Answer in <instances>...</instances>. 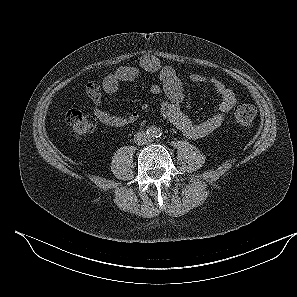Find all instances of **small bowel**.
Instances as JSON below:
<instances>
[{
    "label": "small bowel",
    "instance_id": "c3829d8e",
    "mask_svg": "<svg viewBox=\"0 0 297 297\" xmlns=\"http://www.w3.org/2000/svg\"><path fill=\"white\" fill-rule=\"evenodd\" d=\"M143 72L158 75L162 85H153L150 88V93L159 98L161 116L189 139L204 138L218 129L237 102L234 91L220 80L201 74H191L188 77L190 82L210 86L220 97V102L209 118L201 122L192 121L182 110L185 98L184 84L175 69L163 66L157 58L151 55H144L138 66L120 67L106 76L101 85L96 82H90L87 85V94L94 104L93 114L101 124L110 127H123L138 121L139 114L137 112L121 115L111 114L102 108V101L103 93H115L122 83L135 81ZM162 92L165 93L167 99L161 98Z\"/></svg>",
    "mask_w": 297,
    "mask_h": 297
}]
</instances>
